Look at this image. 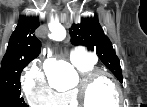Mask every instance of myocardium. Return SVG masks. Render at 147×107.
I'll list each match as a JSON object with an SVG mask.
<instances>
[{"instance_id": "obj_1", "label": "myocardium", "mask_w": 147, "mask_h": 107, "mask_svg": "<svg viewBox=\"0 0 147 107\" xmlns=\"http://www.w3.org/2000/svg\"><path fill=\"white\" fill-rule=\"evenodd\" d=\"M102 78L108 79L114 85L118 96L117 104L120 105L123 103L122 90L119 82L108 72L102 70H94L88 74L82 75L73 88L79 107H91L88 101V93L91 87Z\"/></svg>"}]
</instances>
